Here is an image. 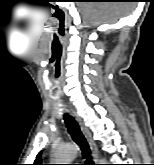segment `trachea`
<instances>
[{"label": "trachea", "instance_id": "1", "mask_svg": "<svg viewBox=\"0 0 154 165\" xmlns=\"http://www.w3.org/2000/svg\"><path fill=\"white\" fill-rule=\"evenodd\" d=\"M64 121L72 139L81 148L83 156L87 158V165L88 164L93 165V162L90 159V149H89L88 143L84 135L82 134L78 123L69 114L64 115Z\"/></svg>", "mask_w": 154, "mask_h": 165}]
</instances>
